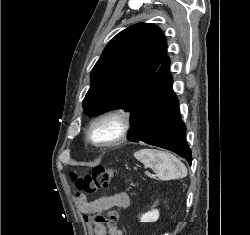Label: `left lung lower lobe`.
I'll return each mask as SVG.
<instances>
[{
    "mask_svg": "<svg viewBox=\"0 0 250 235\" xmlns=\"http://www.w3.org/2000/svg\"><path fill=\"white\" fill-rule=\"evenodd\" d=\"M169 58L158 69L145 89L130 119V141H143L165 148L185 158L191 165V149L185 139V125L178 109V99L173 91L169 72Z\"/></svg>",
    "mask_w": 250,
    "mask_h": 235,
    "instance_id": "0a47b994",
    "label": "left lung lower lobe"
}]
</instances>
